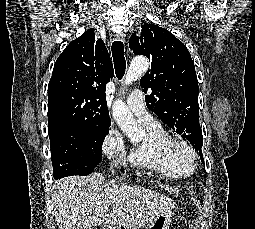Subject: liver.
<instances>
[{"mask_svg":"<svg viewBox=\"0 0 255 229\" xmlns=\"http://www.w3.org/2000/svg\"><path fill=\"white\" fill-rule=\"evenodd\" d=\"M104 181L102 174L93 173L64 178L53 186L59 229H93L101 224L139 229L174 207L169 197L142 186L112 184L101 191Z\"/></svg>","mask_w":255,"mask_h":229,"instance_id":"6515ba94","label":"liver"}]
</instances>
